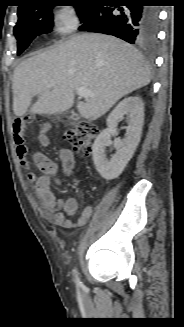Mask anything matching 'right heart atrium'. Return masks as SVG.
Returning <instances> with one entry per match:
<instances>
[{
    "mask_svg": "<svg viewBox=\"0 0 184 327\" xmlns=\"http://www.w3.org/2000/svg\"><path fill=\"white\" fill-rule=\"evenodd\" d=\"M80 24V16L73 8H64L53 14V28L60 33H72L79 28Z\"/></svg>",
    "mask_w": 184,
    "mask_h": 327,
    "instance_id": "right-heart-atrium-1",
    "label": "right heart atrium"
}]
</instances>
